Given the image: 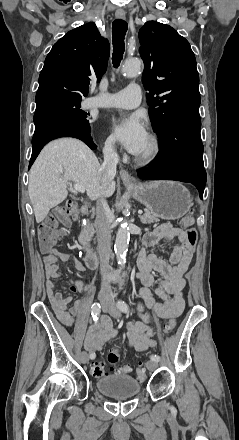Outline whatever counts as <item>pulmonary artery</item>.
<instances>
[{
  "label": "pulmonary artery",
  "mask_w": 239,
  "mask_h": 440,
  "mask_svg": "<svg viewBox=\"0 0 239 440\" xmlns=\"http://www.w3.org/2000/svg\"><path fill=\"white\" fill-rule=\"evenodd\" d=\"M141 90L132 84L124 90L113 94H97L85 102L87 108H135L140 104Z\"/></svg>",
  "instance_id": "obj_1"
}]
</instances>
